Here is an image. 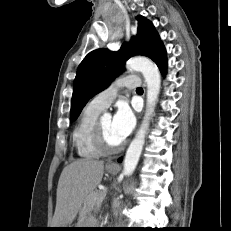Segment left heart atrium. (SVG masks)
<instances>
[{
	"instance_id": "obj_1",
	"label": "left heart atrium",
	"mask_w": 231,
	"mask_h": 231,
	"mask_svg": "<svg viewBox=\"0 0 231 231\" xmlns=\"http://www.w3.org/2000/svg\"><path fill=\"white\" fill-rule=\"evenodd\" d=\"M135 123L136 119L132 110L126 104H120L112 119L113 132L120 142L131 134Z\"/></svg>"
}]
</instances>
